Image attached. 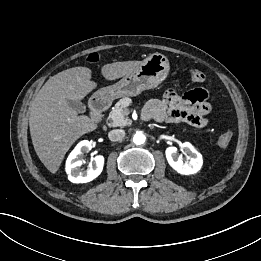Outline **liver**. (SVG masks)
<instances>
[{
  "instance_id": "liver-1",
  "label": "liver",
  "mask_w": 261,
  "mask_h": 261,
  "mask_svg": "<svg viewBox=\"0 0 261 261\" xmlns=\"http://www.w3.org/2000/svg\"><path fill=\"white\" fill-rule=\"evenodd\" d=\"M142 61L105 64L103 77L115 80L133 72ZM97 87L91 70L73 67L51 77L30 104L29 127L37 156L55 174L69 148L86 133L97 128L96 122L69 107L67 100L80 101Z\"/></svg>"
}]
</instances>
